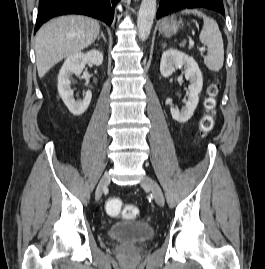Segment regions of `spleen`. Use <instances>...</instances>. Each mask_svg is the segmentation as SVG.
<instances>
[{
    "mask_svg": "<svg viewBox=\"0 0 265 269\" xmlns=\"http://www.w3.org/2000/svg\"><path fill=\"white\" fill-rule=\"evenodd\" d=\"M181 13L194 14L203 18L204 24L199 39L208 48L204 64L211 71H220L224 63V46L217 22L197 9H186Z\"/></svg>",
    "mask_w": 265,
    "mask_h": 269,
    "instance_id": "spleen-1",
    "label": "spleen"
}]
</instances>
